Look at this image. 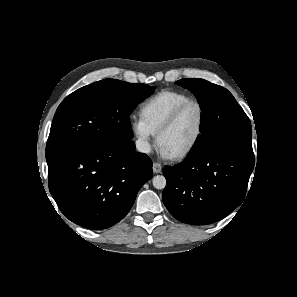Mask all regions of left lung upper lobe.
Returning <instances> with one entry per match:
<instances>
[{
	"label": "left lung upper lobe",
	"instance_id": "1",
	"mask_svg": "<svg viewBox=\"0 0 297 297\" xmlns=\"http://www.w3.org/2000/svg\"><path fill=\"white\" fill-rule=\"evenodd\" d=\"M176 84L190 90L202 110L201 135L189 156L215 149L254 156L250 120L227 89L196 78L181 79Z\"/></svg>",
	"mask_w": 297,
	"mask_h": 297
}]
</instances>
